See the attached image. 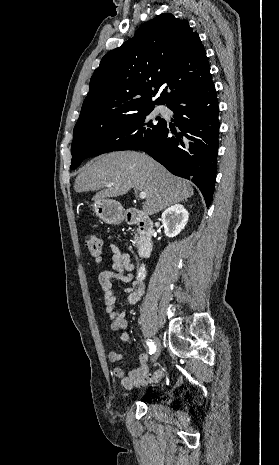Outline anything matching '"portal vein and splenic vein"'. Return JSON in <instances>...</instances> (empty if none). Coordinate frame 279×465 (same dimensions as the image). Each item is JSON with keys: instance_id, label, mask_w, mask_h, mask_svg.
<instances>
[{"instance_id": "1", "label": "portal vein and splenic vein", "mask_w": 279, "mask_h": 465, "mask_svg": "<svg viewBox=\"0 0 279 465\" xmlns=\"http://www.w3.org/2000/svg\"><path fill=\"white\" fill-rule=\"evenodd\" d=\"M111 186H112V184H108V187H111ZM139 197L142 200L146 199V193L145 192H140Z\"/></svg>"}]
</instances>
